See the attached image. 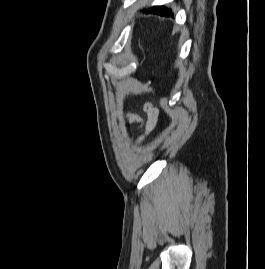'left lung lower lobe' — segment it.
<instances>
[{
	"label": "left lung lower lobe",
	"mask_w": 265,
	"mask_h": 269,
	"mask_svg": "<svg viewBox=\"0 0 265 269\" xmlns=\"http://www.w3.org/2000/svg\"><path fill=\"white\" fill-rule=\"evenodd\" d=\"M146 12L154 13V14H158V15L166 16V17L173 16V13L171 12V10L168 8H165L164 6H154L146 10Z\"/></svg>",
	"instance_id": "1"
}]
</instances>
